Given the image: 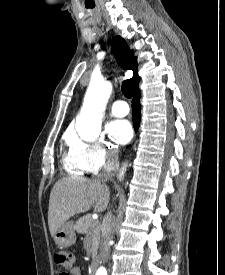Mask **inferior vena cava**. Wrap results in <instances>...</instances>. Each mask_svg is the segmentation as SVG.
Wrapping results in <instances>:
<instances>
[{
  "instance_id": "1",
  "label": "inferior vena cava",
  "mask_w": 225,
  "mask_h": 275,
  "mask_svg": "<svg viewBox=\"0 0 225 275\" xmlns=\"http://www.w3.org/2000/svg\"><path fill=\"white\" fill-rule=\"evenodd\" d=\"M107 161L104 165V171L100 174V179L105 182L112 177L113 171L118 167L117 151L109 150L107 152ZM113 218L111 212H108L103 220L102 239L100 243V256L103 262H107L110 255V240L112 239Z\"/></svg>"
}]
</instances>
